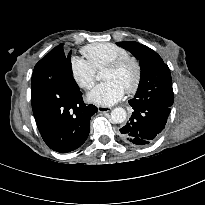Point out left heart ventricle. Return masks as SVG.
I'll list each match as a JSON object with an SVG mask.
<instances>
[{"instance_id": "obj_1", "label": "left heart ventricle", "mask_w": 205, "mask_h": 205, "mask_svg": "<svg viewBox=\"0 0 205 205\" xmlns=\"http://www.w3.org/2000/svg\"><path fill=\"white\" fill-rule=\"evenodd\" d=\"M102 79L104 81L113 80L123 86L126 89L134 79V68L132 65H126L120 70H104L102 73Z\"/></svg>"}]
</instances>
